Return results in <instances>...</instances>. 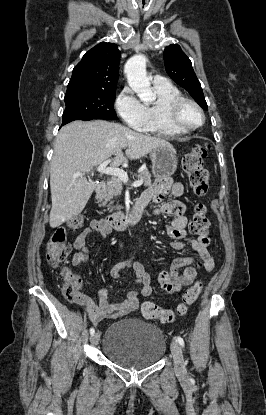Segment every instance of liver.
<instances>
[{"label":"liver","mask_w":266,"mask_h":415,"mask_svg":"<svg viewBox=\"0 0 266 415\" xmlns=\"http://www.w3.org/2000/svg\"><path fill=\"white\" fill-rule=\"evenodd\" d=\"M159 146L172 145L105 120L74 121L62 127L54 145L50 167L52 208L49 224L56 228L82 212L96 184L86 174L113 155L117 167L128 159H139ZM128 147L123 154L122 150ZM81 173V177H74Z\"/></svg>","instance_id":"6515ba94"}]
</instances>
